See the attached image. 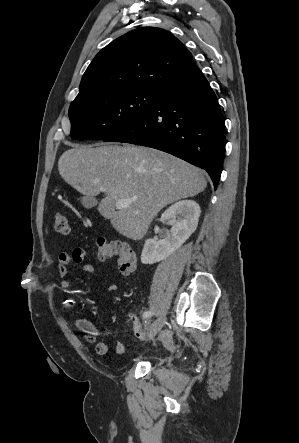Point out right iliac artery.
Masks as SVG:
<instances>
[{
    "instance_id": "obj_1",
    "label": "right iliac artery",
    "mask_w": 299,
    "mask_h": 443,
    "mask_svg": "<svg viewBox=\"0 0 299 443\" xmlns=\"http://www.w3.org/2000/svg\"><path fill=\"white\" fill-rule=\"evenodd\" d=\"M154 313L152 311H145L142 315L143 319L149 318L153 315Z\"/></svg>"
}]
</instances>
